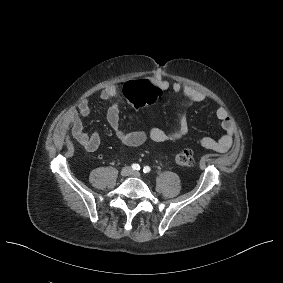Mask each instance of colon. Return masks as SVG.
I'll use <instances>...</instances> for the list:
<instances>
[{
  "label": "colon",
  "mask_w": 283,
  "mask_h": 283,
  "mask_svg": "<svg viewBox=\"0 0 283 283\" xmlns=\"http://www.w3.org/2000/svg\"><path fill=\"white\" fill-rule=\"evenodd\" d=\"M124 95L134 108L155 103L162 95V90L147 80L128 82L124 86ZM174 163L179 168H187L194 164L192 150L183 149L174 157Z\"/></svg>",
  "instance_id": "colon-1"
}]
</instances>
